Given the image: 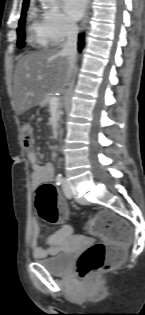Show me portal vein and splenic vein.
<instances>
[{"instance_id":"portal-vein-and-splenic-vein-1","label":"portal vein and splenic vein","mask_w":145,"mask_h":315,"mask_svg":"<svg viewBox=\"0 0 145 315\" xmlns=\"http://www.w3.org/2000/svg\"><path fill=\"white\" fill-rule=\"evenodd\" d=\"M58 103V99L56 98V97H52L51 99H50V104L51 105H56Z\"/></svg>"}]
</instances>
